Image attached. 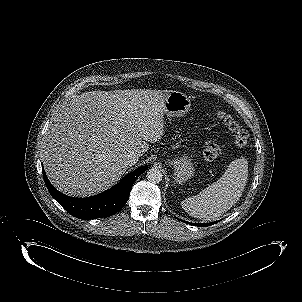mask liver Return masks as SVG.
<instances>
[{"label": "liver", "mask_w": 302, "mask_h": 302, "mask_svg": "<svg viewBox=\"0 0 302 302\" xmlns=\"http://www.w3.org/2000/svg\"><path fill=\"white\" fill-rule=\"evenodd\" d=\"M170 90L83 93L53 118L43 152L51 183L78 197L98 194L127 171L125 157L140 156L164 133L163 112Z\"/></svg>", "instance_id": "6515ba94"}]
</instances>
